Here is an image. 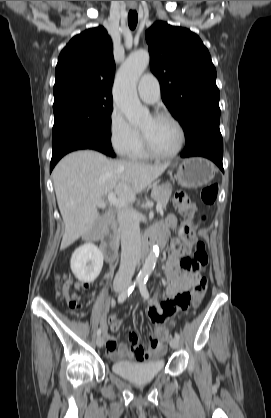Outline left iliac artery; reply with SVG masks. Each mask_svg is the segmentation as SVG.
<instances>
[{
	"instance_id": "left-iliac-artery-1",
	"label": "left iliac artery",
	"mask_w": 271,
	"mask_h": 418,
	"mask_svg": "<svg viewBox=\"0 0 271 418\" xmlns=\"http://www.w3.org/2000/svg\"><path fill=\"white\" fill-rule=\"evenodd\" d=\"M139 291L144 299H149V292L146 286V280H141L138 282ZM176 339H180V335L178 333L174 334Z\"/></svg>"
}]
</instances>
